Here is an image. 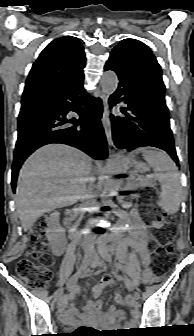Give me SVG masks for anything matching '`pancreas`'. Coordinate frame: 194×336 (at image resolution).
I'll list each match as a JSON object with an SVG mask.
<instances>
[{"label": "pancreas", "instance_id": "cf45deb5", "mask_svg": "<svg viewBox=\"0 0 194 336\" xmlns=\"http://www.w3.org/2000/svg\"><path fill=\"white\" fill-rule=\"evenodd\" d=\"M133 183L131 184V187L137 186L139 187H146V186H151L153 182V176L149 177H138L137 179H133Z\"/></svg>", "mask_w": 194, "mask_h": 336}]
</instances>
